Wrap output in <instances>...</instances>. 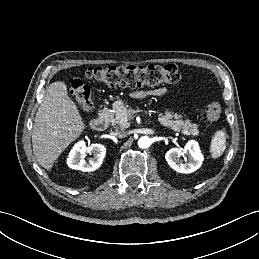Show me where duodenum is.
Here are the masks:
<instances>
[{"mask_svg": "<svg viewBox=\"0 0 259 259\" xmlns=\"http://www.w3.org/2000/svg\"><path fill=\"white\" fill-rule=\"evenodd\" d=\"M110 118L106 111H102L96 118L91 121L92 129L103 131L107 128Z\"/></svg>", "mask_w": 259, "mask_h": 259, "instance_id": "obj_1", "label": "duodenum"}]
</instances>
